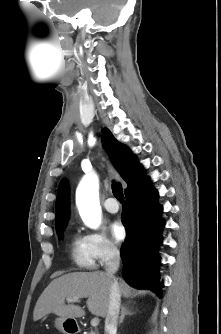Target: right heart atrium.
<instances>
[{
  "instance_id": "d8ad5b80",
  "label": "right heart atrium",
  "mask_w": 221,
  "mask_h": 334,
  "mask_svg": "<svg viewBox=\"0 0 221 334\" xmlns=\"http://www.w3.org/2000/svg\"><path fill=\"white\" fill-rule=\"evenodd\" d=\"M86 239L94 261L98 264L103 265L119 254L117 245L103 231L90 232Z\"/></svg>"
}]
</instances>
